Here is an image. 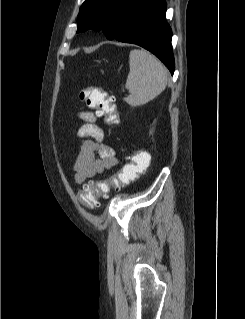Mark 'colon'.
I'll return each instance as SVG.
<instances>
[{"label": "colon", "instance_id": "obj_1", "mask_svg": "<svg viewBox=\"0 0 245 319\" xmlns=\"http://www.w3.org/2000/svg\"><path fill=\"white\" fill-rule=\"evenodd\" d=\"M80 98L86 105L95 109L106 123L113 124L118 120L115 98L98 87H88L80 92ZM150 157L146 152L139 151L128 157L127 163L115 174L110 182L92 180L79 190L78 200L88 207L98 206V199L108 193L109 186L119 190L120 187L145 174L149 168Z\"/></svg>", "mask_w": 245, "mask_h": 319}]
</instances>
